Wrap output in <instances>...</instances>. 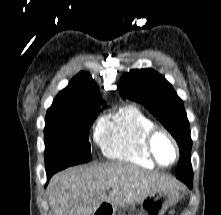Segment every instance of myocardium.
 Returning a JSON list of instances; mask_svg holds the SVG:
<instances>
[{"label":"myocardium","instance_id":"myocardium-1","mask_svg":"<svg viewBox=\"0 0 221 215\" xmlns=\"http://www.w3.org/2000/svg\"><path fill=\"white\" fill-rule=\"evenodd\" d=\"M159 136L165 137L171 144L173 149V159L170 163H163L156 152L155 143ZM145 148L151 160L161 167L173 166L179 158V147L173 135L165 128L154 126L145 137Z\"/></svg>","mask_w":221,"mask_h":215}]
</instances>
